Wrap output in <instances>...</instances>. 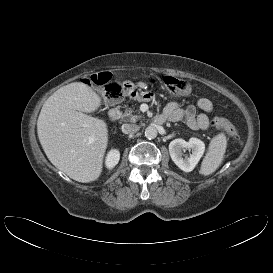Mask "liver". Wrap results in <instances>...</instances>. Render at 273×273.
<instances>
[{"mask_svg":"<svg viewBox=\"0 0 273 273\" xmlns=\"http://www.w3.org/2000/svg\"><path fill=\"white\" fill-rule=\"evenodd\" d=\"M100 105V96L89 85L73 82L54 92L38 117V138L46 156L78 182H92L102 173L108 146L107 124L85 114Z\"/></svg>","mask_w":273,"mask_h":273,"instance_id":"6515ba94","label":"liver"}]
</instances>
